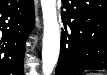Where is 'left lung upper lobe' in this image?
I'll return each instance as SVG.
<instances>
[{
	"label": "left lung upper lobe",
	"mask_w": 107,
	"mask_h": 75,
	"mask_svg": "<svg viewBox=\"0 0 107 75\" xmlns=\"http://www.w3.org/2000/svg\"><path fill=\"white\" fill-rule=\"evenodd\" d=\"M103 2H105V4L107 3L106 0H104ZM99 4H102V3H94V4L89 3V7H88V5L87 6L85 5L84 8H87V9L97 8V7H99ZM72 21H73V25L71 27H69V31L67 30V35H70L72 37V35L74 34L75 38L83 37L85 29H84V25L82 23L81 17L77 14L76 15L74 14ZM69 32H70V34H68Z\"/></svg>",
	"instance_id": "left-lung-upper-lobe-1"
}]
</instances>
